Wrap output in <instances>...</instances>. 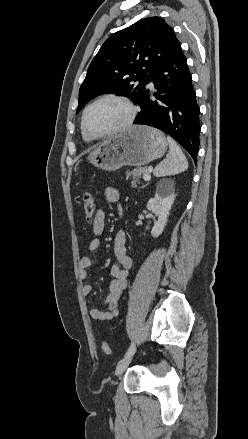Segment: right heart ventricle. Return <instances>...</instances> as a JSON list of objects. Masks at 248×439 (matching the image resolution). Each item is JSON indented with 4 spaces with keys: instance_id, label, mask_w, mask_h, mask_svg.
I'll list each match as a JSON object with an SVG mask.
<instances>
[{
    "instance_id": "obj_1",
    "label": "right heart ventricle",
    "mask_w": 248,
    "mask_h": 439,
    "mask_svg": "<svg viewBox=\"0 0 248 439\" xmlns=\"http://www.w3.org/2000/svg\"><path fill=\"white\" fill-rule=\"evenodd\" d=\"M83 139L87 142L91 141L92 139H89L84 133H82Z\"/></svg>"
}]
</instances>
